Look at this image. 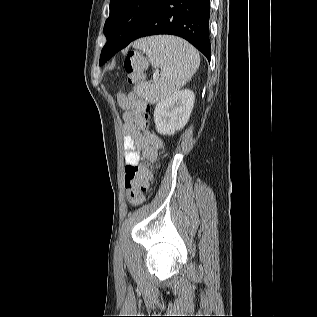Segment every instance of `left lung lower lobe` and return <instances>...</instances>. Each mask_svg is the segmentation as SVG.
Here are the masks:
<instances>
[{
    "mask_svg": "<svg viewBox=\"0 0 317 317\" xmlns=\"http://www.w3.org/2000/svg\"><path fill=\"white\" fill-rule=\"evenodd\" d=\"M209 2L210 0H163L132 41L158 34L180 36L210 61ZM130 42L116 44L108 41L104 46L107 50L106 58L110 59Z\"/></svg>",
    "mask_w": 317,
    "mask_h": 317,
    "instance_id": "1",
    "label": "left lung lower lobe"
}]
</instances>
